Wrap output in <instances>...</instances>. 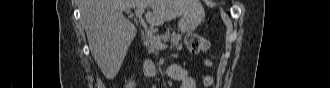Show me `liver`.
Returning a JSON list of instances; mask_svg holds the SVG:
<instances>
[{
    "label": "liver",
    "mask_w": 330,
    "mask_h": 88,
    "mask_svg": "<svg viewBox=\"0 0 330 88\" xmlns=\"http://www.w3.org/2000/svg\"><path fill=\"white\" fill-rule=\"evenodd\" d=\"M194 5L195 0H82L81 18L89 49L106 78L117 75L137 33L122 14L125 8L150 7L146 21L151 26H160L187 13Z\"/></svg>",
    "instance_id": "1"
}]
</instances>
